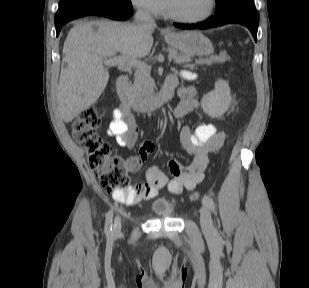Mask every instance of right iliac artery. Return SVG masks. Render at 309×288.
Here are the masks:
<instances>
[{
  "label": "right iliac artery",
  "mask_w": 309,
  "mask_h": 288,
  "mask_svg": "<svg viewBox=\"0 0 309 288\" xmlns=\"http://www.w3.org/2000/svg\"><path fill=\"white\" fill-rule=\"evenodd\" d=\"M112 217H113V211L110 210L106 214V224H105V233L109 234L112 230Z\"/></svg>",
  "instance_id": "82829eb1"
}]
</instances>
